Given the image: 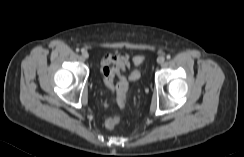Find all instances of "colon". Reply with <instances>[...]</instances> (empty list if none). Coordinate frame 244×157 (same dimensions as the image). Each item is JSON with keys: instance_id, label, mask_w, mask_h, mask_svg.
Wrapping results in <instances>:
<instances>
[{"instance_id": "obj_1", "label": "colon", "mask_w": 244, "mask_h": 157, "mask_svg": "<svg viewBox=\"0 0 244 157\" xmlns=\"http://www.w3.org/2000/svg\"><path fill=\"white\" fill-rule=\"evenodd\" d=\"M145 60L144 55H137L133 58V63L136 67L140 66ZM104 76V83L110 89L113 90L116 88L118 99L120 104H124L125 97L128 90V80L122 74V70L116 64L107 65L102 70ZM118 78L117 83L115 85L114 80ZM130 80L135 82L140 78V71L138 69H134L130 74ZM120 123L119 117H109L105 121V125L108 129L116 128Z\"/></svg>"}]
</instances>
